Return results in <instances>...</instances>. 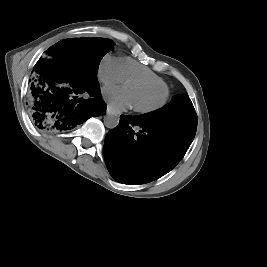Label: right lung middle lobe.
<instances>
[{"label": "right lung middle lobe", "mask_w": 267, "mask_h": 267, "mask_svg": "<svg viewBox=\"0 0 267 267\" xmlns=\"http://www.w3.org/2000/svg\"><path fill=\"white\" fill-rule=\"evenodd\" d=\"M113 45V41L107 38H70L59 41L47 52L50 57L65 62L80 78L95 82L99 63Z\"/></svg>", "instance_id": "1"}]
</instances>
